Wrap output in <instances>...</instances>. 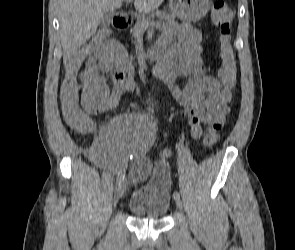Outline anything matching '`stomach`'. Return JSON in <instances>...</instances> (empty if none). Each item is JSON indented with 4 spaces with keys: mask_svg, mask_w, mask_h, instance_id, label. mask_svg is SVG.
<instances>
[{
    "mask_svg": "<svg viewBox=\"0 0 295 250\" xmlns=\"http://www.w3.org/2000/svg\"><path fill=\"white\" fill-rule=\"evenodd\" d=\"M169 9L181 20L197 21L208 12L209 0H170Z\"/></svg>",
    "mask_w": 295,
    "mask_h": 250,
    "instance_id": "0dacf381",
    "label": "stomach"
}]
</instances>
